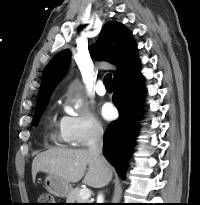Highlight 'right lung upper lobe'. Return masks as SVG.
Returning a JSON list of instances; mask_svg holds the SVG:
<instances>
[{
    "mask_svg": "<svg viewBox=\"0 0 200 205\" xmlns=\"http://www.w3.org/2000/svg\"><path fill=\"white\" fill-rule=\"evenodd\" d=\"M90 52L118 67V71L113 72V80L124 75L139 62L132 34L117 22H109L103 26L96 48ZM69 61L70 51L66 49L56 54L48 63L42 77L37 103L49 99Z\"/></svg>",
    "mask_w": 200,
    "mask_h": 205,
    "instance_id": "1",
    "label": "right lung upper lobe"
}]
</instances>
